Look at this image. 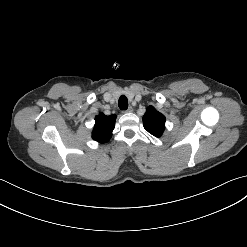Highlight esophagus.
Returning a JSON list of instances; mask_svg holds the SVG:
<instances>
[{
  "label": "esophagus",
  "mask_w": 247,
  "mask_h": 247,
  "mask_svg": "<svg viewBox=\"0 0 247 247\" xmlns=\"http://www.w3.org/2000/svg\"><path fill=\"white\" fill-rule=\"evenodd\" d=\"M133 111L132 107H129L127 110L123 111V113H131Z\"/></svg>",
  "instance_id": "1"
}]
</instances>
